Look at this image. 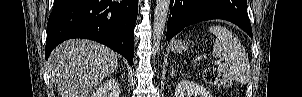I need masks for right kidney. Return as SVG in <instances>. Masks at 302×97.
Returning a JSON list of instances; mask_svg holds the SVG:
<instances>
[{
	"label": "right kidney",
	"instance_id": "1",
	"mask_svg": "<svg viewBox=\"0 0 302 97\" xmlns=\"http://www.w3.org/2000/svg\"><path fill=\"white\" fill-rule=\"evenodd\" d=\"M120 84L118 81L108 80L101 85L93 94L92 97H119Z\"/></svg>",
	"mask_w": 302,
	"mask_h": 97
}]
</instances>
